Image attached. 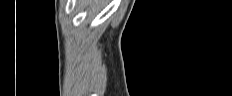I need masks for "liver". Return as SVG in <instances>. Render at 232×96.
I'll return each instance as SVG.
<instances>
[{
    "mask_svg": "<svg viewBox=\"0 0 232 96\" xmlns=\"http://www.w3.org/2000/svg\"><path fill=\"white\" fill-rule=\"evenodd\" d=\"M83 3L86 5L90 4L92 8H94L98 4V0L92 1V0H85Z\"/></svg>",
    "mask_w": 232,
    "mask_h": 96,
    "instance_id": "liver-1",
    "label": "liver"
}]
</instances>
